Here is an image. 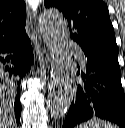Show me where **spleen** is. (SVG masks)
<instances>
[{"label":"spleen","instance_id":"3e777b00","mask_svg":"<svg viewBox=\"0 0 125 128\" xmlns=\"http://www.w3.org/2000/svg\"><path fill=\"white\" fill-rule=\"evenodd\" d=\"M77 128H117V126L97 118L90 119L80 124Z\"/></svg>","mask_w":125,"mask_h":128}]
</instances>
